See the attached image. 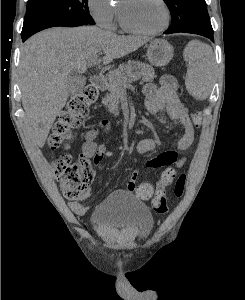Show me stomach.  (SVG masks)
<instances>
[{"label":"stomach","mask_w":245,"mask_h":300,"mask_svg":"<svg viewBox=\"0 0 245 300\" xmlns=\"http://www.w3.org/2000/svg\"><path fill=\"white\" fill-rule=\"evenodd\" d=\"M174 54L173 47L164 39H155L147 49V58L151 65L162 67L167 65Z\"/></svg>","instance_id":"0dacf381"}]
</instances>
